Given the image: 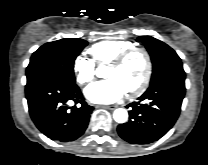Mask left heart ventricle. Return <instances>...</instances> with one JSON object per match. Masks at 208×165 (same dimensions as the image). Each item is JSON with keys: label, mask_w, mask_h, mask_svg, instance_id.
<instances>
[{"label": "left heart ventricle", "mask_w": 208, "mask_h": 165, "mask_svg": "<svg viewBox=\"0 0 208 165\" xmlns=\"http://www.w3.org/2000/svg\"><path fill=\"white\" fill-rule=\"evenodd\" d=\"M145 58L141 53L131 55L120 67L108 66L105 76L120 82L126 92L136 87L145 73Z\"/></svg>", "instance_id": "left-heart-ventricle-1"}]
</instances>
